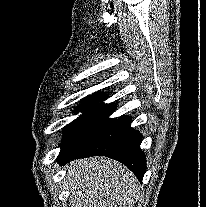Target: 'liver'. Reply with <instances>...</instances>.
Returning <instances> with one entry per match:
<instances>
[{
	"label": "liver",
	"instance_id": "6515ba94",
	"mask_svg": "<svg viewBox=\"0 0 206 207\" xmlns=\"http://www.w3.org/2000/svg\"><path fill=\"white\" fill-rule=\"evenodd\" d=\"M71 207H132L139 196L133 173L121 163L90 157L66 166Z\"/></svg>",
	"mask_w": 206,
	"mask_h": 207
}]
</instances>
